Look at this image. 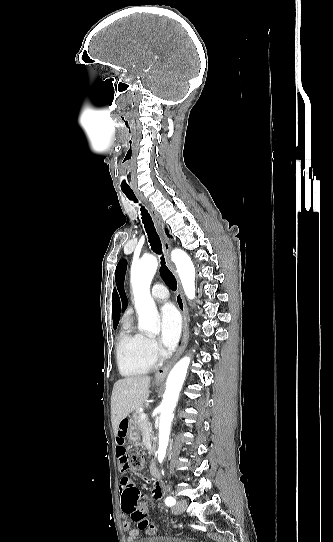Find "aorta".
Returning <instances> with one entry per match:
<instances>
[{
	"instance_id": "762f6f07",
	"label": "aorta",
	"mask_w": 333,
	"mask_h": 542,
	"mask_svg": "<svg viewBox=\"0 0 333 542\" xmlns=\"http://www.w3.org/2000/svg\"><path fill=\"white\" fill-rule=\"evenodd\" d=\"M172 260L177 268L182 288L188 300L195 298V268L186 252L173 250ZM158 260L151 254H145L140 262L131 268V282L134 292L135 310L138 314L139 330H147L156 334L158 310L150 294V284L156 274ZM191 358L185 356L179 360L169 372L166 380L164 398L159 406V446L158 460L163 462L169 442L173 412L178 402L179 394L187 376Z\"/></svg>"
}]
</instances>
